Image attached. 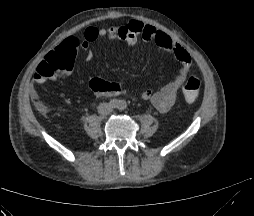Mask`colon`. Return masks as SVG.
I'll use <instances>...</instances> for the list:
<instances>
[{"mask_svg": "<svg viewBox=\"0 0 254 216\" xmlns=\"http://www.w3.org/2000/svg\"><path fill=\"white\" fill-rule=\"evenodd\" d=\"M72 53L67 49L54 50L48 53L37 67V76L44 80H50L69 70L72 66ZM200 87V80L197 77H190L183 86L184 99L189 103L195 102L199 96Z\"/></svg>", "mask_w": 254, "mask_h": 216, "instance_id": "obj_1", "label": "colon"}]
</instances>
